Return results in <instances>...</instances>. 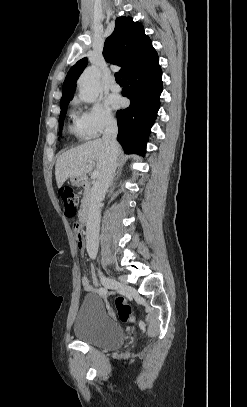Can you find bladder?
<instances>
[{
	"instance_id": "bladder-1",
	"label": "bladder",
	"mask_w": 247,
	"mask_h": 407,
	"mask_svg": "<svg viewBox=\"0 0 247 407\" xmlns=\"http://www.w3.org/2000/svg\"><path fill=\"white\" fill-rule=\"evenodd\" d=\"M74 334L79 341L107 350H116L124 343V329L112 318L100 297H84L74 322Z\"/></svg>"
}]
</instances>
